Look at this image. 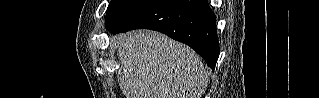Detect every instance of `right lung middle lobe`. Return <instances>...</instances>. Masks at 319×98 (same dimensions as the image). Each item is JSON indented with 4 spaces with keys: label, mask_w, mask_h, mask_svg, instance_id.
Segmentation results:
<instances>
[{
    "label": "right lung middle lobe",
    "mask_w": 319,
    "mask_h": 98,
    "mask_svg": "<svg viewBox=\"0 0 319 98\" xmlns=\"http://www.w3.org/2000/svg\"><path fill=\"white\" fill-rule=\"evenodd\" d=\"M147 1L148 0H111L106 13V27L115 25Z\"/></svg>",
    "instance_id": "1"
}]
</instances>
